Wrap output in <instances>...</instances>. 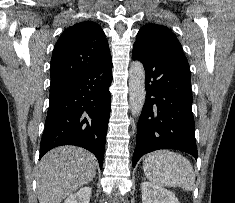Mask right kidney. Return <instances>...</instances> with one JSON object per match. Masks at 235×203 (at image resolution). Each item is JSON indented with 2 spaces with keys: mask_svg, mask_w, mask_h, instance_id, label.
Masks as SVG:
<instances>
[{
  "mask_svg": "<svg viewBox=\"0 0 235 203\" xmlns=\"http://www.w3.org/2000/svg\"><path fill=\"white\" fill-rule=\"evenodd\" d=\"M91 193L92 188L89 186H85L75 194H71L70 196H68L64 203H89Z\"/></svg>",
  "mask_w": 235,
  "mask_h": 203,
  "instance_id": "obj_1",
  "label": "right kidney"
}]
</instances>
